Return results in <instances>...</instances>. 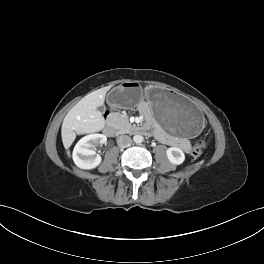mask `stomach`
Instances as JSON below:
<instances>
[{"instance_id": "1", "label": "stomach", "mask_w": 264, "mask_h": 264, "mask_svg": "<svg viewBox=\"0 0 264 264\" xmlns=\"http://www.w3.org/2000/svg\"><path fill=\"white\" fill-rule=\"evenodd\" d=\"M108 98L115 108H131L142 102L133 84L124 83L113 89ZM143 98L153 118L167 132L178 137H198L204 131V118L199 109L185 97L157 86L147 87Z\"/></svg>"}]
</instances>
